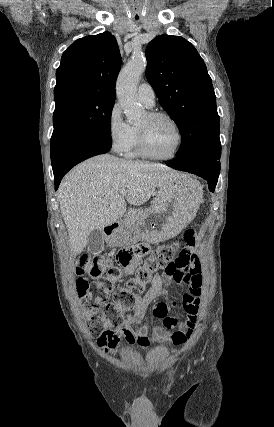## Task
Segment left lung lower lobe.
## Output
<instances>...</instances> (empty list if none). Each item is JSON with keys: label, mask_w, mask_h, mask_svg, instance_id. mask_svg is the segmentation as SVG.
Returning <instances> with one entry per match:
<instances>
[{"label": "left lung lower lobe", "mask_w": 274, "mask_h": 427, "mask_svg": "<svg viewBox=\"0 0 274 427\" xmlns=\"http://www.w3.org/2000/svg\"><path fill=\"white\" fill-rule=\"evenodd\" d=\"M221 156V150L205 153L195 157L189 158H175L166 162V165L196 174L205 180H208L209 190L214 191L217 184L220 162L218 161Z\"/></svg>", "instance_id": "left-lung-lower-lobe-1"}]
</instances>
